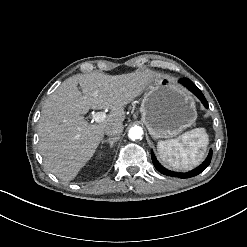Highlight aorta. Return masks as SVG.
Here are the masks:
<instances>
[{
    "label": "aorta",
    "mask_w": 247,
    "mask_h": 247,
    "mask_svg": "<svg viewBox=\"0 0 247 247\" xmlns=\"http://www.w3.org/2000/svg\"><path fill=\"white\" fill-rule=\"evenodd\" d=\"M128 135L132 140L141 139L143 135V129L140 126H134L129 129Z\"/></svg>",
    "instance_id": "1"
}]
</instances>
